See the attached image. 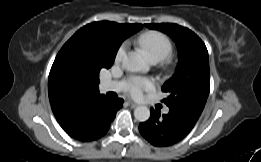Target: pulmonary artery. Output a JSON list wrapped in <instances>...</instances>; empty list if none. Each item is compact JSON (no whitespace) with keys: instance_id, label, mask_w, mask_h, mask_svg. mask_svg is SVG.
<instances>
[{"instance_id":"obj_1","label":"pulmonary artery","mask_w":261,"mask_h":162,"mask_svg":"<svg viewBox=\"0 0 261 162\" xmlns=\"http://www.w3.org/2000/svg\"><path fill=\"white\" fill-rule=\"evenodd\" d=\"M157 60H153V63H157ZM124 88L122 83L116 81H104L102 83V90L104 92H119ZM169 112V108L165 107L163 109V113L167 114Z\"/></svg>"}]
</instances>
